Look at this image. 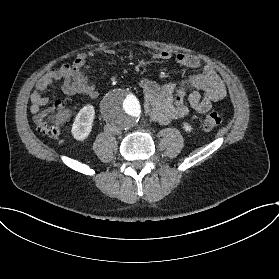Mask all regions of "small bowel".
Segmentation results:
<instances>
[{
    "mask_svg": "<svg viewBox=\"0 0 279 279\" xmlns=\"http://www.w3.org/2000/svg\"><path fill=\"white\" fill-rule=\"evenodd\" d=\"M95 57L93 51L78 54L71 64H63L44 74L36 83L30 95V111L38 114L49 103L42 95L52 85L59 84L66 95H79L90 99L99 96L96 85L88 78L90 61ZM154 61H174L181 67L199 70L180 83L159 85L149 78L140 81L144 94V109L147 115L157 123L168 124L185 117L191 110L208 112L212 103L227 96V88L217 72L207 63L189 53L173 54L169 50L155 52Z\"/></svg>",
    "mask_w": 279,
    "mask_h": 279,
    "instance_id": "small-bowel-1",
    "label": "small bowel"
}]
</instances>
